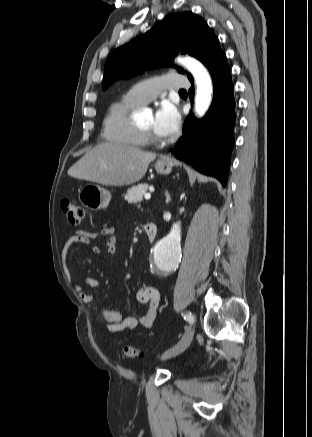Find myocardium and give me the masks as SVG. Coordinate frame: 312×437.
Here are the masks:
<instances>
[{"label": "myocardium", "instance_id": "1", "mask_svg": "<svg viewBox=\"0 0 312 437\" xmlns=\"http://www.w3.org/2000/svg\"><path fill=\"white\" fill-rule=\"evenodd\" d=\"M141 133L143 134L146 141L154 142V143H160L161 140L153 133L151 130L143 129L141 127L138 128Z\"/></svg>", "mask_w": 312, "mask_h": 437}]
</instances>
